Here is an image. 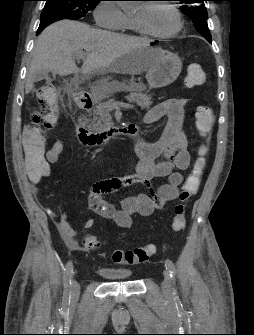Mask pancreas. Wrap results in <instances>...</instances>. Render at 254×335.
I'll use <instances>...</instances> for the list:
<instances>
[{
	"mask_svg": "<svg viewBox=\"0 0 254 335\" xmlns=\"http://www.w3.org/2000/svg\"><path fill=\"white\" fill-rule=\"evenodd\" d=\"M116 86V85H115ZM114 86V87H115ZM113 87H110V89H103L100 94L103 97H107L109 94L114 92ZM130 94L126 97L127 100L132 103H137L138 106L141 107V109H149L152 101H151V95H147L146 93H143L141 91V87L139 85L133 86L130 89ZM110 102V101H109ZM108 102H100L93 110L92 113V120H91V129L94 131H101L105 129L106 127L112 125V117L110 114L111 109L107 107Z\"/></svg>",
	"mask_w": 254,
	"mask_h": 335,
	"instance_id": "pancreas-1",
	"label": "pancreas"
}]
</instances>
